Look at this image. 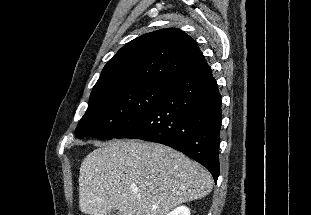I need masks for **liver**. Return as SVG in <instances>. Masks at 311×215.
<instances>
[{"label":"liver","mask_w":311,"mask_h":215,"mask_svg":"<svg viewBox=\"0 0 311 215\" xmlns=\"http://www.w3.org/2000/svg\"><path fill=\"white\" fill-rule=\"evenodd\" d=\"M211 174L167 146L113 140L90 152L80 166L79 207L89 215H167L174 207L203 198Z\"/></svg>","instance_id":"obj_1"}]
</instances>
